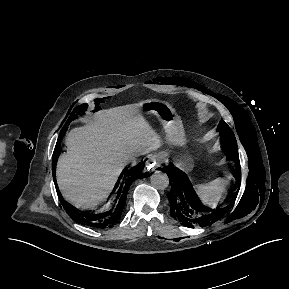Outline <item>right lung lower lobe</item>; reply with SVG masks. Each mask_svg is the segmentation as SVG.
<instances>
[{"instance_id": "right-lung-lower-lobe-1", "label": "right lung lower lobe", "mask_w": 289, "mask_h": 289, "mask_svg": "<svg viewBox=\"0 0 289 289\" xmlns=\"http://www.w3.org/2000/svg\"><path fill=\"white\" fill-rule=\"evenodd\" d=\"M67 130V127H64L59 135L53 156V178L56 180L55 175V167L57 163V159L60 155V145L63 139V136ZM144 163H140L139 165L131 168L130 170H124L122 175L120 176L114 190H113V198L110 202L108 208L102 212L98 213H86L79 211L74 206L66 202L62 195L60 194L59 189L57 188L58 196L60 198L61 204L69 216L77 223L90 226L94 228H106L113 227L116 223H119L121 218V213L124 208V204L126 201V196L131 184L138 178L144 177L142 170L144 168ZM57 187V186H56Z\"/></svg>"}]
</instances>
